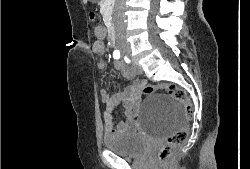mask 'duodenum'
I'll return each mask as SVG.
<instances>
[{
  "label": "duodenum",
  "mask_w": 250,
  "mask_h": 169,
  "mask_svg": "<svg viewBox=\"0 0 250 169\" xmlns=\"http://www.w3.org/2000/svg\"><path fill=\"white\" fill-rule=\"evenodd\" d=\"M109 39H110L111 43H113V44L116 43V35H115L114 31L110 32Z\"/></svg>",
  "instance_id": "obj_1"
}]
</instances>
